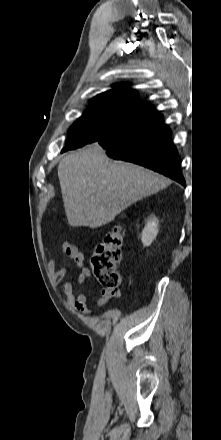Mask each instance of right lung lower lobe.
<instances>
[{
  "instance_id": "1",
  "label": "right lung lower lobe",
  "mask_w": 221,
  "mask_h": 440,
  "mask_svg": "<svg viewBox=\"0 0 221 440\" xmlns=\"http://www.w3.org/2000/svg\"><path fill=\"white\" fill-rule=\"evenodd\" d=\"M162 120L163 116L150 105L97 142L113 159L139 164L185 185L177 163L178 152L170 139L171 130Z\"/></svg>"
}]
</instances>
